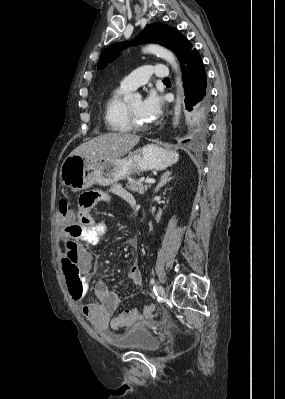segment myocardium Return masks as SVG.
I'll list each match as a JSON object with an SVG mask.
<instances>
[{"label":"myocardium","mask_w":285,"mask_h":399,"mask_svg":"<svg viewBox=\"0 0 285 399\" xmlns=\"http://www.w3.org/2000/svg\"><path fill=\"white\" fill-rule=\"evenodd\" d=\"M126 112H127V117H128V121H129L131 128H133L135 130H143V129L148 128L149 125L147 123H141L136 119L129 104L126 105Z\"/></svg>","instance_id":"myocardium-1"}]
</instances>
